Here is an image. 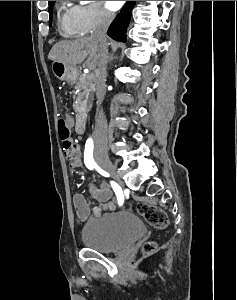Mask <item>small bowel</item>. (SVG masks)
I'll list each match as a JSON object with an SVG mask.
<instances>
[{"instance_id":"obj_1","label":"small bowel","mask_w":237,"mask_h":300,"mask_svg":"<svg viewBox=\"0 0 237 300\" xmlns=\"http://www.w3.org/2000/svg\"><path fill=\"white\" fill-rule=\"evenodd\" d=\"M64 121L69 129L74 126V119L66 115ZM65 157L71 168H80L84 164L83 151L80 145H76L69 151H65ZM90 193L96 204L93 208L95 215H100L103 211H112L115 209L114 193L106 181H101L98 185H90ZM73 206L76 215L80 221H85L90 215V207L82 194H76L73 197Z\"/></svg>"}]
</instances>
